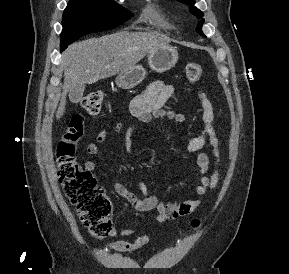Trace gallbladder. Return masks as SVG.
Listing matches in <instances>:
<instances>
[{
    "mask_svg": "<svg viewBox=\"0 0 289 274\" xmlns=\"http://www.w3.org/2000/svg\"><path fill=\"white\" fill-rule=\"evenodd\" d=\"M84 92V86H76L69 92V99L73 103H77L81 100Z\"/></svg>",
    "mask_w": 289,
    "mask_h": 274,
    "instance_id": "gallbladder-1",
    "label": "gallbladder"
}]
</instances>
